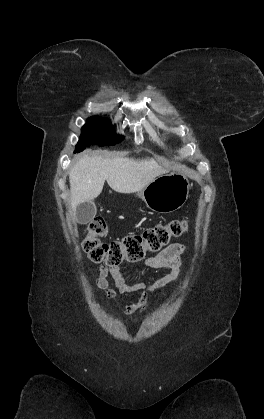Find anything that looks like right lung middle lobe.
Masks as SVG:
<instances>
[{
    "mask_svg": "<svg viewBox=\"0 0 264 419\" xmlns=\"http://www.w3.org/2000/svg\"><path fill=\"white\" fill-rule=\"evenodd\" d=\"M123 139L122 136L116 135L111 124L106 119L93 116L83 126L75 152L84 150L88 145L111 146L121 142Z\"/></svg>",
    "mask_w": 264,
    "mask_h": 419,
    "instance_id": "dd1d6c3e",
    "label": "right lung middle lobe"
}]
</instances>
